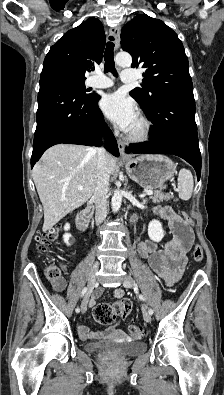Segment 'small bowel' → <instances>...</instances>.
<instances>
[{"instance_id": "obj_1", "label": "small bowel", "mask_w": 224, "mask_h": 395, "mask_svg": "<svg viewBox=\"0 0 224 395\" xmlns=\"http://www.w3.org/2000/svg\"><path fill=\"white\" fill-rule=\"evenodd\" d=\"M161 218L168 222L169 228L174 231V236L168 240L163 248H160L153 241H143L138 245V253L146 260L150 268L161 277L168 286L175 284L181 277L186 265V252L192 244L190 230L184 233L180 227L184 225V220L176 215L169 207H158L155 210ZM51 286L56 291H63L66 281L63 277L53 281ZM102 289L95 291L91 303L98 297ZM115 297L123 295L122 290L115 291ZM112 330V328H110ZM79 335L84 339L93 338L95 335L90 332L85 325L78 326Z\"/></svg>"}]
</instances>
